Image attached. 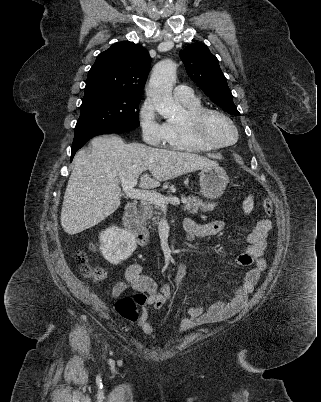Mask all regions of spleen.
I'll return each instance as SVG.
<instances>
[{"mask_svg": "<svg viewBox=\"0 0 321 402\" xmlns=\"http://www.w3.org/2000/svg\"><path fill=\"white\" fill-rule=\"evenodd\" d=\"M253 206H254L253 196L249 195L243 201V211H244V213L249 214L253 210Z\"/></svg>", "mask_w": 321, "mask_h": 402, "instance_id": "1", "label": "spleen"}]
</instances>
